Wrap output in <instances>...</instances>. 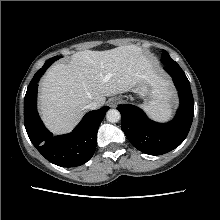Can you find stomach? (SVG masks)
Returning a JSON list of instances; mask_svg holds the SVG:
<instances>
[{
    "label": "stomach",
    "mask_w": 220,
    "mask_h": 220,
    "mask_svg": "<svg viewBox=\"0 0 220 220\" xmlns=\"http://www.w3.org/2000/svg\"><path fill=\"white\" fill-rule=\"evenodd\" d=\"M132 92L135 93L140 98L144 99L151 92L150 83L146 81L140 82L133 88Z\"/></svg>",
    "instance_id": "obj_1"
}]
</instances>
